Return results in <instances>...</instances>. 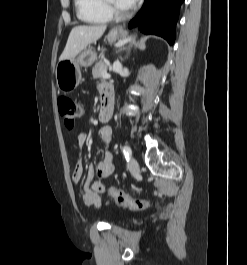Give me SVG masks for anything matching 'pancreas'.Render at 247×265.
Instances as JSON below:
<instances>
[{"instance_id": "1", "label": "pancreas", "mask_w": 247, "mask_h": 265, "mask_svg": "<svg viewBox=\"0 0 247 265\" xmlns=\"http://www.w3.org/2000/svg\"><path fill=\"white\" fill-rule=\"evenodd\" d=\"M107 72V65L103 61H99L92 69L93 78H103V75Z\"/></svg>"}]
</instances>
